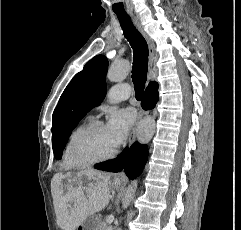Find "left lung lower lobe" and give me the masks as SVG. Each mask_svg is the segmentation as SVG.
<instances>
[{"instance_id": "obj_1", "label": "left lung lower lobe", "mask_w": 241, "mask_h": 230, "mask_svg": "<svg viewBox=\"0 0 241 230\" xmlns=\"http://www.w3.org/2000/svg\"><path fill=\"white\" fill-rule=\"evenodd\" d=\"M148 158V148L138 142L126 147L115 159L96 164L94 167L109 172L124 171L130 179L140 175Z\"/></svg>"}]
</instances>
